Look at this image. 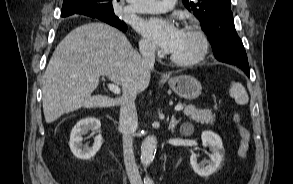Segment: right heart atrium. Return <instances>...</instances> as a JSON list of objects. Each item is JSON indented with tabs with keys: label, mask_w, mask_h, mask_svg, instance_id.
<instances>
[{
	"label": "right heart atrium",
	"mask_w": 293,
	"mask_h": 184,
	"mask_svg": "<svg viewBox=\"0 0 293 184\" xmlns=\"http://www.w3.org/2000/svg\"><path fill=\"white\" fill-rule=\"evenodd\" d=\"M140 49L144 54H147V55H154L156 53L155 45L146 38L141 39Z\"/></svg>",
	"instance_id": "right-heart-atrium-1"
}]
</instances>
